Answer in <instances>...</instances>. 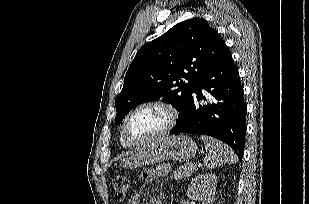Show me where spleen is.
I'll list each match as a JSON object with an SVG mask.
<instances>
[{
    "mask_svg": "<svg viewBox=\"0 0 309 204\" xmlns=\"http://www.w3.org/2000/svg\"><path fill=\"white\" fill-rule=\"evenodd\" d=\"M201 139L208 152L204 159V164L208 169L236 163L237 156L230 147L210 137L201 136Z\"/></svg>",
    "mask_w": 309,
    "mask_h": 204,
    "instance_id": "obj_1",
    "label": "spleen"
}]
</instances>
